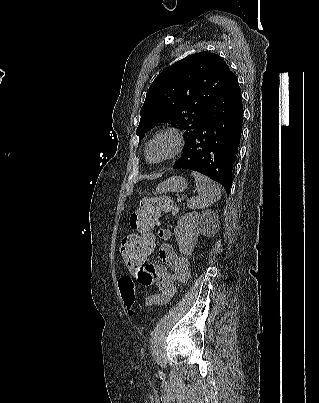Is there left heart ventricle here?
Returning a JSON list of instances; mask_svg holds the SVG:
<instances>
[{
    "mask_svg": "<svg viewBox=\"0 0 319 403\" xmlns=\"http://www.w3.org/2000/svg\"><path fill=\"white\" fill-rule=\"evenodd\" d=\"M171 148V141L167 138L155 142L149 150V159L157 160L166 155Z\"/></svg>",
    "mask_w": 319,
    "mask_h": 403,
    "instance_id": "left-heart-ventricle-1",
    "label": "left heart ventricle"
}]
</instances>
